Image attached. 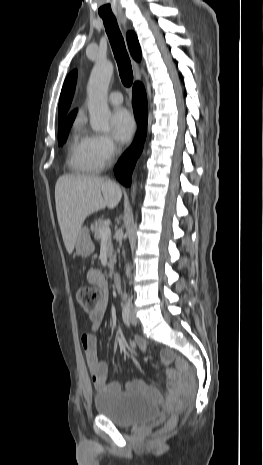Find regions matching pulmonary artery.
Here are the masks:
<instances>
[{"mask_svg": "<svg viewBox=\"0 0 263 465\" xmlns=\"http://www.w3.org/2000/svg\"><path fill=\"white\" fill-rule=\"evenodd\" d=\"M108 101L112 105H120L123 102V96L120 92L114 91L109 94Z\"/></svg>", "mask_w": 263, "mask_h": 465, "instance_id": "e3ab8cb5", "label": "pulmonary artery"}]
</instances>
